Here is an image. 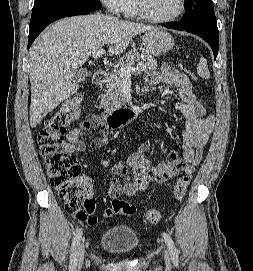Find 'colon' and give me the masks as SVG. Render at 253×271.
I'll list each match as a JSON object with an SVG mask.
<instances>
[{"label":"colon","mask_w":253,"mask_h":271,"mask_svg":"<svg viewBox=\"0 0 253 271\" xmlns=\"http://www.w3.org/2000/svg\"><path fill=\"white\" fill-rule=\"evenodd\" d=\"M183 70L190 74L188 68ZM82 103V96L68 100L44 124L37 135V144L44 160L51 185L57 190L68 213L79 222L91 225L94 223L92 211L95 200L89 185L79 179L80 164L77 158L64 150V136L68 126L77 118ZM192 175H182L174 188V197L180 201L185 197ZM111 209L115 214L132 215L136 207L122 199L114 198ZM146 223L157 224L161 219L158 209L144 213Z\"/></svg>","instance_id":"colon-1"}]
</instances>
